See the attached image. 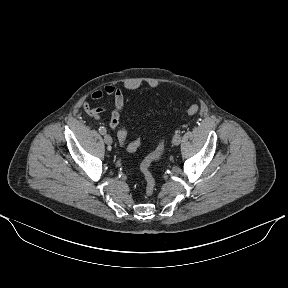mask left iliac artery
I'll use <instances>...</instances> for the list:
<instances>
[{
    "instance_id": "44dca946",
    "label": "left iliac artery",
    "mask_w": 288,
    "mask_h": 288,
    "mask_svg": "<svg viewBox=\"0 0 288 288\" xmlns=\"http://www.w3.org/2000/svg\"><path fill=\"white\" fill-rule=\"evenodd\" d=\"M175 135L176 136H183L184 135V130L183 129H176L175 130Z\"/></svg>"
}]
</instances>
